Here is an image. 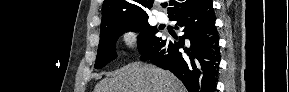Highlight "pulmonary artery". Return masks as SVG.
Returning a JSON list of instances; mask_svg holds the SVG:
<instances>
[{"label":"pulmonary artery","instance_id":"obj_1","mask_svg":"<svg viewBox=\"0 0 289 92\" xmlns=\"http://www.w3.org/2000/svg\"><path fill=\"white\" fill-rule=\"evenodd\" d=\"M156 18H157V21L160 23H164L167 21L166 15L161 12L156 13Z\"/></svg>","mask_w":289,"mask_h":92}]
</instances>
